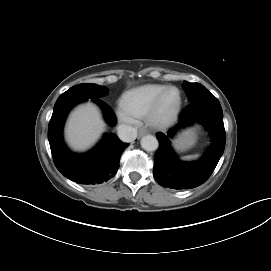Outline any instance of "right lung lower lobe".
<instances>
[{"label": "right lung lower lobe", "mask_w": 271, "mask_h": 271, "mask_svg": "<svg viewBox=\"0 0 271 271\" xmlns=\"http://www.w3.org/2000/svg\"><path fill=\"white\" fill-rule=\"evenodd\" d=\"M92 100L101 106L107 122L114 125L116 118L111 108L99 98ZM82 101L86 100L65 99L55 103L48 140L55 166L65 177L80 184L94 185L106 182L116 174L120 156L129 144L110 133L90 152L72 153L63 142L62 127L71 108Z\"/></svg>", "instance_id": "1"}]
</instances>
